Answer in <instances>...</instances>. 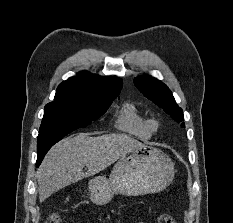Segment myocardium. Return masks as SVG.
I'll use <instances>...</instances> for the list:
<instances>
[{
  "label": "myocardium",
  "mask_w": 233,
  "mask_h": 223,
  "mask_svg": "<svg viewBox=\"0 0 233 223\" xmlns=\"http://www.w3.org/2000/svg\"><path fill=\"white\" fill-rule=\"evenodd\" d=\"M149 127H150L151 131L157 132L162 127L161 121L157 118H152L149 120Z\"/></svg>",
  "instance_id": "1"
}]
</instances>
